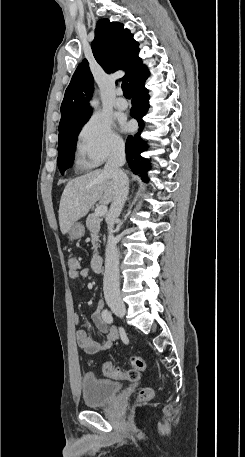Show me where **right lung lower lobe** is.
Masks as SVG:
<instances>
[{
    "instance_id": "right-lung-lower-lobe-1",
    "label": "right lung lower lobe",
    "mask_w": 245,
    "mask_h": 457,
    "mask_svg": "<svg viewBox=\"0 0 245 457\" xmlns=\"http://www.w3.org/2000/svg\"><path fill=\"white\" fill-rule=\"evenodd\" d=\"M149 74L140 78L131 84L132 108L131 116L138 121L140 129L134 136L130 135L126 141V157L133 173L141 175L147 181L146 171L149 169L148 160L142 158L140 153L148 149L146 142L140 134L144 128L143 116L146 115L149 108L148 90L144 87V82Z\"/></svg>"
}]
</instances>
